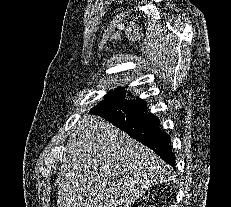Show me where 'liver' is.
Instances as JSON below:
<instances>
[{"label":"liver","mask_w":231,"mask_h":207,"mask_svg":"<svg viewBox=\"0 0 231 207\" xmlns=\"http://www.w3.org/2000/svg\"><path fill=\"white\" fill-rule=\"evenodd\" d=\"M169 166L151 149L101 117L74 126L57 175V207H130Z\"/></svg>","instance_id":"obj_1"}]
</instances>
